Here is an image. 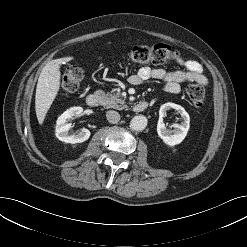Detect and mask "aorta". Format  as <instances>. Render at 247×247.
I'll use <instances>...</instances> for the list:
<instances>
[{
	"instance_id": "obj_1",
	"label": "aorta",
	"mask_w": 247,
	"mask_h": 247,
	"mask_svg": "<svg viewBox=\"0 0 247 247\" xmlns=\"http://www.w3.org/2000/svg\"><path fill=\"white\" fill-rule=\"evenodd\" d=\"M147 126V118L143 115H138L132 118L130 128L134 131H143Z\"/></svg>"
}]
</instances>
